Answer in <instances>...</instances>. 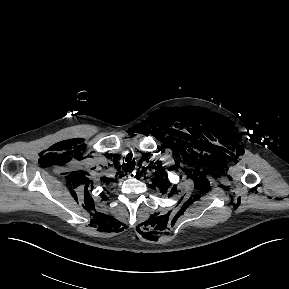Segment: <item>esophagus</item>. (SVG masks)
Wrapping results in <instances>:
<instances>
[{"label":"esophagus","instance_id":"esophagus-1","mask_svg":"<svg viewBox=\"0 0 289 289\" xmlns=\"http://www.w3.org/2000/svg\"><path fill=\"white\" fill-rule=\"evenodd\" d=\"M128 177H129V178H132V177H133V173H129V174H128Z\"/></svg>","mask_w":289,"mask_h":289}]
</instances>
